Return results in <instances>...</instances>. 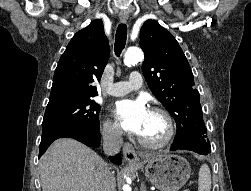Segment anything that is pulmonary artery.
I'll use <instances>...</instances> for the list:
<instances>
[{
	"mask_svg": "<svg viewBox=\"0 0 251 191\" xmlns=\"http://www.w3.org/2000/svg\"><path fill=\"white\" fill-rule=\"evenodd\" d=\"M143 85V77L138 71L130 73L127 81L109 84L106 91L112 96H122L131 90L139 89Z\"/></svg>",
	"mask_w": 251,
	"mask_h": 191,
	"instance_id": "obj_1",
	"label": "pulmonary artery"
}]
</instances>
